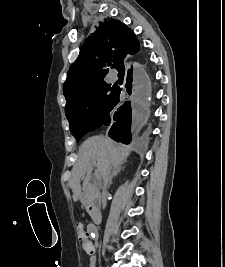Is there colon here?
<instances>
[{
	"label": "colon",
	"instance_id": "obj_1",
	"mask_svg": "<svg viewBox=\"0 0 225 267\" xmlns=\"http://www.w3.org/2000/svg\"><path fill=\"white\" fill-rule=\"evenodd\" d=\"M78 230H79V232H81V237H80L81 241L80 242H81V245H82L83 249L85 251H90L91 245L88 242V239H87L86 235L83 232V225L81 223L78 224Z\"/></svg>",
	"mask_w": 225,
	"mask_h": 267
}]
</instances>
